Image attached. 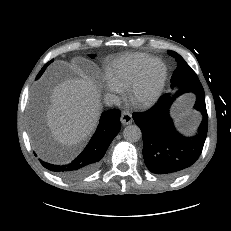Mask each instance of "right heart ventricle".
I'll return each mask as SVG.
<instances>
[{"mask_svg": "<svg viewBox=\"0 0 231 231\" xmlns=\"http://www.w3.org/2000/svg\"><path fill=\"white\" fill-rule=\"evenodd\" d=\"M151 59L153 58L146 53L124 55L108 66V78L121 89H126L135 80L143 66Z\"/></svg>", "mask_w": 231, "mask_h": 231, "instance_id": "obj_1", "label": "right heart ventricle"}]
</instances>
